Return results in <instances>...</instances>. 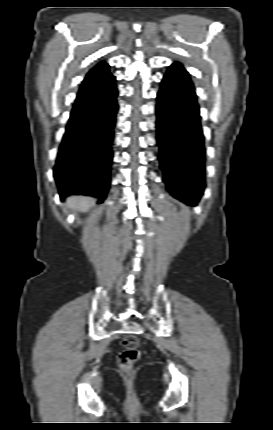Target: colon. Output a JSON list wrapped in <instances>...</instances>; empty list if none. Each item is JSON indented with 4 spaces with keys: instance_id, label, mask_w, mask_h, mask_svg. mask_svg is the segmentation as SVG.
Masks as SVG:
<instances>
[{
    "instance_id": "5ec220e1",
    "label": "colon",
    "mask_w": 273,
    "mask_h": 430,
    "mask_svg": "<svg viewBox=\"0 0 273 430\" xmlns=\"http://www.w3.org/2000/svg\"><path fill=\"white\" fill-rule=\"evenodd\" d=\"M123 347L118 362L122 371L129 374L141 356V344L136 336L128 335L123 339Z\"/></svg>"
}]
</instances>
